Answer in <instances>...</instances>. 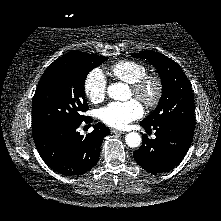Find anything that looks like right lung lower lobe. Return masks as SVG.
Here are the masks:
<instances>
[{
	"mask_svg": "<svg viewBox=\"0 0 221 221\" xmlns=\"http://www.w3.org/2000/svg\"><path fill=\"white\" fill-rule=\"evenodd\" d=\"M86 117L77 122L59 124L34 137L35 145L44 162L54 171L64 175L80 176L89 171L98 161L103 137L110 133L105 125L98 123L92 133L85 137L77 128Z\"/></svg>",
	"mask_w": 221,
	"mask_h": 221,
	"instance_id": "1",
	"label": "right lung lower lobe"
}]
</instances>
